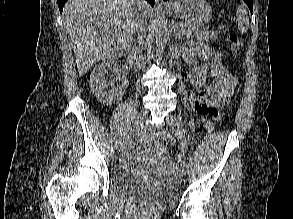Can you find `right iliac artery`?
I'll return each instance as SVG.
<instances>
[{"label":"right iliac artery","instance_id":"1","mask_svg":"<svg viewBox=\"0 0 293 219\" xmlns=\"http://www.w3.org/2000/svg\"><path fill=\"white\" fill-rule=\"evenodd\" d=\"M140 133V130L136 131V132H133L132 130L128 133V132H125L124 134L121 135L120 137V141L125 139V138H129V137H132L134 136L135 134H139Z\"/></svg>","mask_w":293,"mask_h":219}]
</instances>
